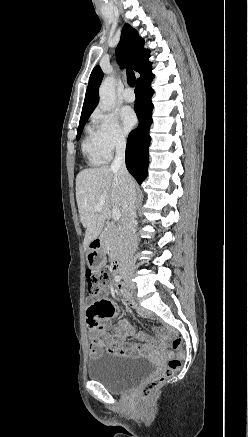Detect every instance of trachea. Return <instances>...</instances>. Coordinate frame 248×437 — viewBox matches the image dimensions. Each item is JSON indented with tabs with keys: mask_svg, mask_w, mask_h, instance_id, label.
Listing matches in <instances>:
<instances>
[{
	"mask_svg": "<svg viewBox=\"0 0 248 437\" xmlns=\"http://www.w3.org/2000/svg\"><path fill=\"white\" fill-rule=\"evenodd\" d=\"M126 72H127V82H128V84L131 87H134L135 86V82H136V77H135V74H134L133 70L128 68Z\"/></svg>",
	"mask_w": 248,
	"mask_h": 437,
	"instance_id": "3493384b",
	"label": "trachea"
}]
</instances>
